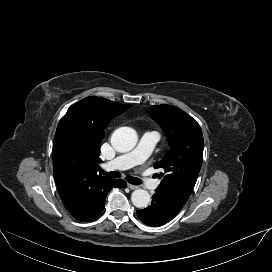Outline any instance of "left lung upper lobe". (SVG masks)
Wrapping results in <instances>:
<instances>
[{"label":"left lung upper lobe","mask_w":272,"mask_h":272,"mask_svg":"<svg viewBox=\"0 0 272 272\" xmlns=\"http://www.w3.org/2000/svg\"><path fill=\"white\" fill-rule=\"evenodd\" d=\"M149 115L165 131L169 151L160 162L154 164L161 169V183L155 194L182 207L188 199L203 161L204 140L199 124L187 113L171 105L150 107Z\"/></svg>","instance_id":"left-lung-upper-lobe-1"}]
</instances>
